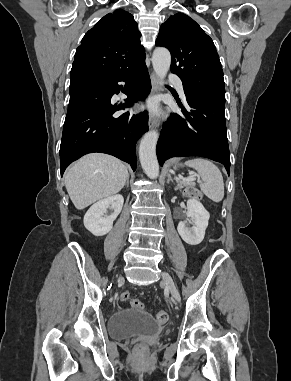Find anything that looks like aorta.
Instances as JSON below:
<instances>
[{
    "label": "aorta",
    "instance_id": "aorta-1",
    "mask_svg": "<svg viewBox=\"0 0 291 381\" xmlns=\"http://www.w3.org/2000/svg\"><path fill=\"white\" fill-rule=\"evenodd\" d=\"M170 64L171 55L168 49L163 47L156 48L152 56V65L159 80H164L169 71ZM158 137L157 131H149L143 136L139 146L141 166L146 175L151 179H156L159 175V164L156 157Z\"/></svg>",
    "mask_w": 291,
    "mask_h": 381
}]
</instances>
